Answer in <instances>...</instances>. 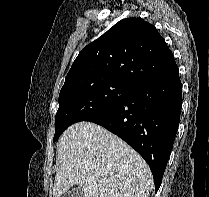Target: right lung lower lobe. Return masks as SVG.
I'll return each mask as SVG.
<instances>
[{
  "mask_svg": "<svg viewBox=\"0 0 209 197\" xmlns=\"http://www.w3.org/2000/svg\"><path fill=\"white\" fill-rule=\"evenodd\" d=\"M181 107L182 85L175 64L85 121L105 127L135 149L150 166L157 192L173 147Z\"/></svg>",
  "mask_w": 209,
  "mask_h": 197,
  "instance_id": "obj_1",
  "label": "right lung lower lobe"
}]
</instances>
